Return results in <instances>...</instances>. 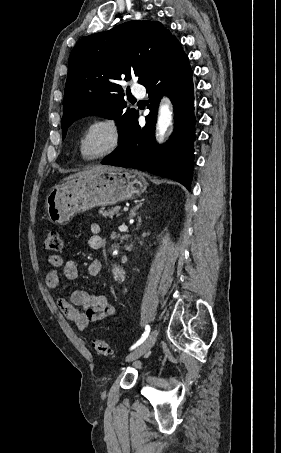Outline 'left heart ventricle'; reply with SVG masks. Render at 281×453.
Instances as JSON below:
<instances>
[{
    "mask_svg": "<svg viewBox=\"0 0 281 453\" xmlns=\"http://www.w3.org/2000/svg\"><path fill=\"white\" fill-rule=\"evenodd\" d=\"M106 139L107 136L103 131H96L88 138V142L92 147H94L104 142Z\"/></svg>",
    "mask_w": 281,
    "mask_h": 453,
    "instance_id": "left-heart-ventricle-1",
    "label": "left heart ventricle"
}]
</instances>
